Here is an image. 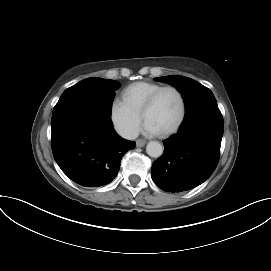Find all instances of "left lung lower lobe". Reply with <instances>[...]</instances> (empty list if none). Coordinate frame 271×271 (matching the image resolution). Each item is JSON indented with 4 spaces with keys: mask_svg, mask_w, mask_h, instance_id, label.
<instances>
[{
    "mask_svg": "<svg viewBox=\"0 0 271 271\" xmlns=\"http://www.w3.org/2000/svg\"><path fill=\"white\" fill-rule=\"evenodd\" d=\"M223 129L218 108L186 118L178 134L163 142L164 153L152 165L155 184L167 192H182L206 181L218 164Z\"/></svg>",
    "mask_w": 271,
    "mask_h": 271,
    "instance_id": "obj_1",
    "label": "left lung lower lobe"
}]
</instances>
